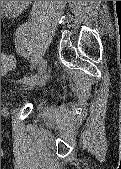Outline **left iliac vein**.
Listing matches in <instances>:
<instances>
[{
    "label": "left iliac vein",
    "instance_id": "4c4485c4",
    "mask_svg": "<svg viewBox=\"0 0 121 169\" xmlns=\"http://www.w3.org/2000/svg\"><path fill=\"white\" fill-rule=\"evenodd\" d=\"M40 64H44L46 65L47 62L45 59H42ZM47 73L44 71L42 74H40L36 79L30 81L26 87L24 88L25 91L27 90H31L35 87H42L43 85H45L46 81H47Z\"/></svg>",
    "mask_w": 121,
    "mask_h": 169
}]
</instances>
